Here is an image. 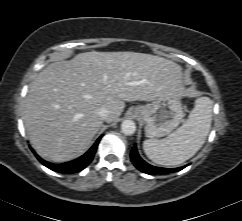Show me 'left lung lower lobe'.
<instances>
[{
  "mask_svg": "<svg viewBox=\"0 0 242 221\" xmlns=\"http://www.w3.org/2000/svg\"><path fill=\"white\" fill-rule=\"evenodd\" d=\"M131 161L135 165L137 169H139L141 172L154 175V174H164V173H172L176 171H180L186 166L179 167V168H161V167H155L148 163H146L138 154L136 146L132 148L131 154Z\"/></svg>",
  "mask_w": 242,
  "mask_h": 221,
  "instance_id": "obj_1",
  "label": "left lung lower lobe"
}]
</instances>
